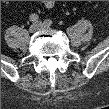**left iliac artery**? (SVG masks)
Here are the masks:
<instances>
[{
  "mask_svg": "<svg viewBox=\"0 0 109 109\" xmlns=\"http://www.w3.org/2000/svg\"><path fill=\"white\" fill-rule=\"evenodd\" d=\"M45 23L51 25L52 24V21L50 19H47V20H45Z\"/></svg>",
  "mask_w": 109,
  "mask_h": 109,
  "instance_id": "1",
  "label": "left iliac artery"
}]
</instances>
